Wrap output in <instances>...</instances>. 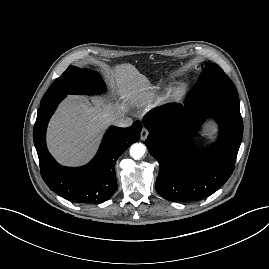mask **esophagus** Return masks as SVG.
Wrapping results in <instances>:
<instances>
[{
	"mask_svg": "<svg viewBox=\"0 0 269 269\" xmlns=\"http://www.w3.org/2000/svg\"><path fill=\"white\" fill-rule=\"evenodd\" d=\"M148 134H149L148 130L145 127H143V129L141 131V140H143V141L146 140Z\"/></svg>",
	"mask_w": 269,
	"mask_h": 269,
	"instance_id": "obj_1",
	"label": "esophagus"
}]
</instances>
